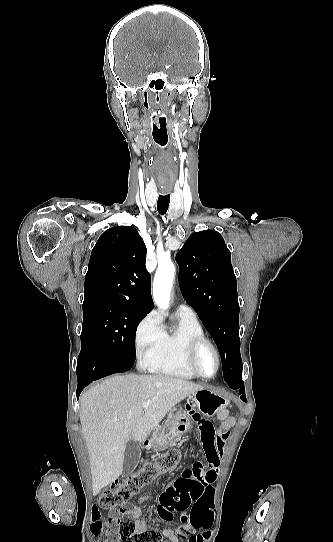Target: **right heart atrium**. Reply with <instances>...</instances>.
I'll return each instance as SVG.
<instances>
[{
    "instance_id": "right-heart-atrium-1",
    "label": "right heart atrium",
    "mask_w": 333,
    "mask_h": 542,
    "mask_svg": "<svg viewBox=\"0 0 333 542\" xmlns=\"http://www.w3.org/2000/svg\"><path fill=\"white\" fill-rule=\"evenodd\" d=\"M163 336L161 323L156 315L149 314L143 319L136 330V345L138 350L158 343Z\"/></svg>"
}]
</instances>
